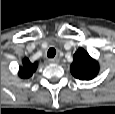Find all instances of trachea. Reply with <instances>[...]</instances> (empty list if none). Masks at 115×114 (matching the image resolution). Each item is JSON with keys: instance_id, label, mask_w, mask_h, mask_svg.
Here are the masks:
<instances>
[{"instance_id": "obj_1", "label": "trachea", "mask_w": 115, "mask_h": 114, "mask_svg": "<svg viewBox=\"0 0 115 114\" xmlns=\"http://www.w3.org/2000/svg\"><path fill=\"white\" fill-rule=\"evenodd\" d=\"M55 55H56V50H55V48H50V49L48 50V52H47V56H48L49 58H53Z\"/></svg>"}]
</instances>
